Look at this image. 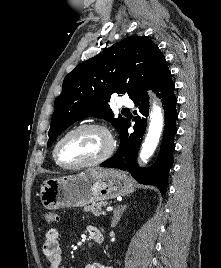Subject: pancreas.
I'll return each instance as SVG.
<instances>
[{"instance_id":"1","label":"pancreas","mask_w":221,"mask_h":268,"mask_svg":"<svg viewBox=\"0 0 221 268\" xmlns=\"http://www.w3.org/2000/svg\"><path fill=\"white\" fill-rule=\"evenodd\" d=\"M109 203L106 201H100L97 203H93L92 205L85 206L83 210L85 212H90L94 216H100L104 214V211H102V207L107 206Z\"/></svg>"}]
</instances>
